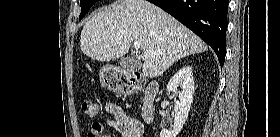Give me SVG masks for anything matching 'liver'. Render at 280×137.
<instances>
[{
    "instance_id": "liver-1",
    "label": "liver",
    "mask_w": 280,
    "mask_h": 137,
    "mask_svg": "<svg viewBox=\"0 0 280 137\" xmlns=\"http://www.w3.org/2000/svg\"><path fill=\"white\" fill-rule=\"evenodd\" d=\"M134 43L144 53L143 74L155 78L178 59L208 46L174 17L146 0H121L89 19L80 36L82 52L98 61L124 56Z\"/></svg>"
}]
</instances>
